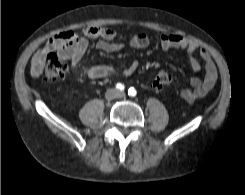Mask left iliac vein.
<instances>
[{"label": "left iliac vein", "mask_w": 245, "mask_h": 195, "mask_svg": "<svg viewBox=\"0 0 245 195\" xmlns=\"http://www.w3.org/2000/svg\"><path fill=\"white\" fill-rule=\"evenodd\" d=\"M118 96L122 97V96H124V93L119 92V93H118Z\"/></svg>", "instance_id": "obj_1"}]
</instances>
